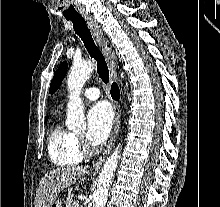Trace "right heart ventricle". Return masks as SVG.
Segmentation results:
<instances>
[{"label":"right heart ventricle","mask_w":220,"mask_h":207,"mask_svg":"<svg viewBox=\"0 0 220 207\" xmlns=\"http://www.w3.org/2000/svg\"><path fill=\"white\" fill-rule=\"evenodd\" d=\"M47 148L50 160L59 167L73 166L83 159L77 137L59 122L50 132Z\"/></svg>","instance_id":"obj_1"}]
</instances>
